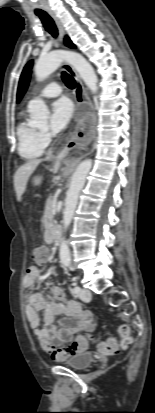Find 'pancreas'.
Wrapping results in <instances>:
<instances>
[{
	"label": "pancreas",
	"mask_w": 155,
	"mask_h": 413,
	"mask_svg": "<svg viewBox=\"0 0 155 413\" xmlns=\"http://www.w3.org/2000/svg\"><path fill=\"white\" fill-rule=\"evenodd\" d=\"M54 204H55V199L52 196H49V198L46 201V208H45V211L47 212V215L45 217L47 218V224L49 225H53L54 223V220H53Z\"/></svg>",
	"instance_id": "1"
}]
</instances>
